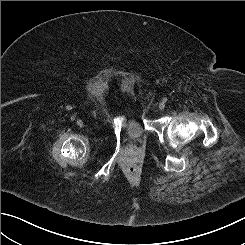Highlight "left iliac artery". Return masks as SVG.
<instances>
[{"label": "left iliac artery", "instance_id": "44dca946", "mask_svg": "<svg viewBox=\"0 0 245 245\" xmlns=\"http://www.w3.org/2000/svg\"><path fill=\"white\" fill-rule=\"evenodd\" d=\"M163 101H164V102H167V98H164Z\"/></svg>", "mask_w": 245, "mask_h": 245}]
</instances>
